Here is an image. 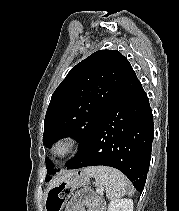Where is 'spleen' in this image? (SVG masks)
I'll use <instances>...</instances> for the list:
<instances>
[{"label": "spleen", "mask_w": 179, "mask_h": 211, "mask_svg": "<svg viewBox=\"0 0 179 211\" xmlns=\"http://www.w3.org/2000/svg\"><path fill=\"white\" fill-rule=\"evenodd\" d=\"M83 174L96 180L99 188L105 187L106 196L110 200L123 197L127 192L128 182L119 170L106 166L85 168Z\"/></svg>", "instance_id": "3e777b00"}]
</instances>
